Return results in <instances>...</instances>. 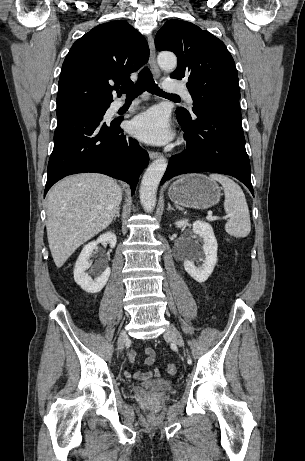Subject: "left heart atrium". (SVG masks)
<instances>
[{
    "label": "left heart atrium",
    "mask_w": 305,
    "mask_h": 461,
    "mask_svg": "<svg viewBox=\"0 0 305 461\" xmlns=\"http://www.w3.org/2000/svg\"><path fill=\"white\" fill-rule=\"evenodd\" d=\"M131 131L137 138L152 144H164L173 136L167 113L157 107L135 117Z\"/></svg>",
    "instance_id": "1"
}]
</instances>
